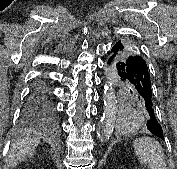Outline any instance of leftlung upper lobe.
<instances>
[{
    "mask_svg": "<svg viewBox=\"0 0 177 169\" xmlns=\"http://www.w3.org/2000/svg\"><path fill=\"white\" fill-rule=\"evenodd\" d=\"M118 42L122 46V50L120 51L117 60H121L128 55H137L140 57L143 56V52L138 42H134V41H126L123 43H121V41Z\"/></svg>",
    "mask_w": 177,
    "mask_h": 169,
    "instance_id": "5c2ea615",
    "label": "left lung upper lobe"
}]
</instances>
